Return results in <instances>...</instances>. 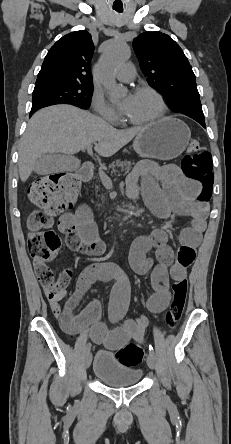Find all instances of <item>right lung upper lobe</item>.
<instances>
[{"instance_id":"cb5924a9","label":"right lung upper lobe","mask_w":231,"mask_h":444,"mask_svg":"<svg viewBox=\"0 0 231 444\" xmlns=\"http://www.w3.org/2000/svg\"><path fill=\"white\" fill-rule=\"evenodd\" d=\"M93 51L92 38L87 31L63 36L48 51L35 86L54 83L92 85Z\"/></svg>"}]
</instances>
